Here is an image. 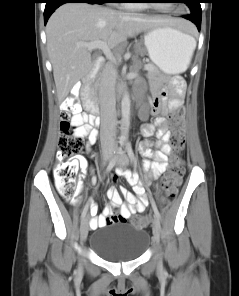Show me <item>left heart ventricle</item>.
Wrapping results in <instances>:
<instances>
[{
  "mask_svg": "<svg viewBox=\"0 0 239 296\" xmlns=\"http://www.w3.org/2000/svg\"><path fill=\"white\" fill-rule=\"evenodd\" d=\"M155 4H157L159 6H168L171 3H166V2L160 1V3H155Z\"/></svg>",
  "mask_w": 239,
  "mask_h": 296,
  "instance_id": "obj_1",
  "label": "left heart ventricle"
}]
</instances>
